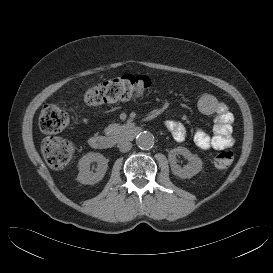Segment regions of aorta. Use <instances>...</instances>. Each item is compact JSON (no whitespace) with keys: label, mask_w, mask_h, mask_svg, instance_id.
Wrapping results in <instances>:
<instances>
[{"label":"aorta","mask_w":273,"mask_h":273,"mask_svg":"<svg viewBox=\"0 0 273 273\" xmlns=\"http://www.w3.org/2000/svg\"><path fill=\"white\" fill-rule=\"evenodd\" d=\"M136 144L140 149L149 150L154 145V136L150 132H141L136 138Z\"/></svg>","instance_id":"762f6f07"}]
</instances>
